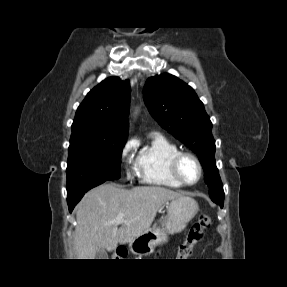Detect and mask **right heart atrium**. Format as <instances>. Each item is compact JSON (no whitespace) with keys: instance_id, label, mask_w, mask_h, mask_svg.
<instances>
[{"instance_id":"d8ad5b80","label":"right heart atrium","mask_w":287,"mask_h":287,"mask_svg":"<svg viewBox=\"0 0 287 287\" xmlns=\"http://www.w3.org/2000/svg\"><path fill=\"white\" fill-rule=\"evenodd\" d=\"M135 147V143L131 140L125 142V144L121 148V158L126 160L128 156L131 154L132 150ZM130 175V173H128Z\"/></svg>"}]
</instances>
